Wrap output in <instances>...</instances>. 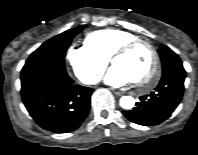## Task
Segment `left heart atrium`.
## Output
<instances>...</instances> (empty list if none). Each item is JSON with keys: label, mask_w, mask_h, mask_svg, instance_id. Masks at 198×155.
<instances>
[{"label": "left heart atrium", "mask_w": 198, "mask_h": 155, "mask_svg": "<svg viewBox=\"0 0 198 155\" xmlns=\"http://www.w3.org/2000/svg\"><path fill=\"white\" fill-rule=\"evenodd\" d=\"M104 81L106 84L115 87L124 86L133 82L130 75L117 65L112 66L108 70L105 75Z\"/></svg>", "instance_id": "39dd6f15"}]
</instances>
